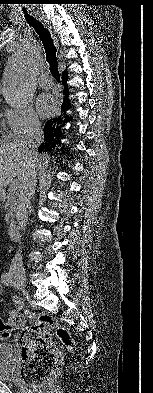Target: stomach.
Masks as SVG:
<instances>
[{"instance_id":"1","label":"stomach","mask_w":153,"mask_h":393,"mask_svg":"<svg viewBox=\"0 0 153 393\" xmlns=\"http://www.w3.org/2000/svg\"><path fill=\"white\" fill-rule=\"evenodd\" d=\"M2 199V192L0 193V200Z\"/></svg>"}]
</instances>
